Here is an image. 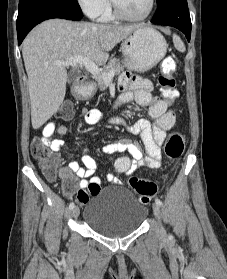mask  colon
I'll return each mask as SVG.
<instances>
[{
    "mask_svg": "<svg viewBox=\"0 0 227 279\" xmlns=\"http://www.w3.org/2000/svg\"><path fill=\"white\" fill-rule=\"evenodd\" d=\"M177 69L175 60L172 57H165L161 61V70L158 74V85L161 95L167 100H174L178 97L176 89V80L174 73ZM73 113V107L68 104H63L60 108V118L68 119ZM185 140L181 133L172 132L165 143L164 152L169 160H177L181 157L184 151ZM32 157L38 161L44 175L50 179H55L56 165L58 157L56 153L48 151L45 147L43 139L34 140L30 147ZM130 187L136 192L141 203H147L153 196L157 194V185L150 180L132 176L129 178ZM62 188L67 193L74 192V181L70 180L67 184L62 185ZM100 186L97 183H92L89 187V192L98 191ZM87 194L82 190L77 192L78 198H86Z\"/></svg>",
    "mask_w": 227,
    "mask_h": 279,
    "instance_id": "obj_1",
    "label": "colon"
}]
</instances>
